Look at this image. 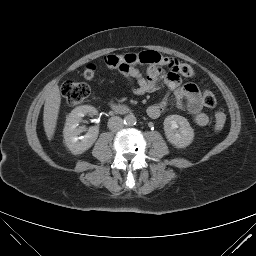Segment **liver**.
<instances>
[{
  "label": "liver",
  "mask_w": 256,
  "mask_h": 256,
  "mask_svg": "<svg viewBox=\"0 0 256 256\" xmlns=\"http://www.w3.org/2000/svg\"><path fill=\"white\" fill-rule=\"evenodd\" d=\"M60 104L61 96L59 87L55 85L49 91L44 104L43 125L48 140H52L54 136Z\"/></svg>",
  "instance_id": "liver-1"
}]
</instances>
